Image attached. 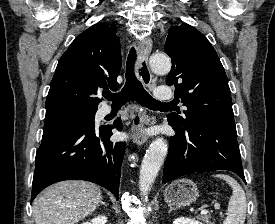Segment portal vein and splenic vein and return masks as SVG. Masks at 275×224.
Listing matches in <instances>:
<instances>
[{
	"label": "portal vein and splenic vein",
	"mask_w": 275,
	"mask_h": 224,
	"mask_svg": "<svg viewBox=\"0 0 275 224\" xmlns=\"http://www.w3.org/2000/svg\"><path fill=\"white\" fill-rule=\"evenodd\" d=\"M207 213H208V211L206 209H202L201 212H200L201 215H204V214H207Z\"/></svg>",
	"instance_id": "1"
}]
</instances>
